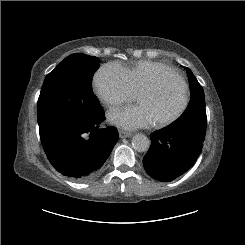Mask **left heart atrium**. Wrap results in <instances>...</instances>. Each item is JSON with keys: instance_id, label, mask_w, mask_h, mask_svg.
Wrapping results in <instances>:
<instances>
[{"instance_id": "39dd6f15", "label": "left heart atrium", "mask_w": 245, "mask_h": 245, "mask_svg": "<svg viewBox=\"0 0 245 245\" xmlns=\"http://www.w3.org/2000/svg\"><path fill=\"white\" fill-rule=\"evenodd\" d=\"M108 118L114 126L128 131L146 128L154 123L147 107L141 104L111 111Z\"/></svg>"}]
</instances>
